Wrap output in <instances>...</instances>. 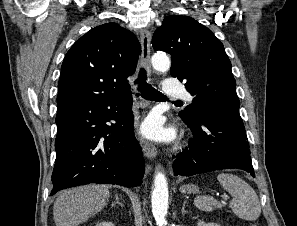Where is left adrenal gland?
<instances>
[{"label": "left adrenal gland", "instance_id": "1", "mask_svg": "<svg viewBox=\"0 0 297 226\" xmlns=\"http://www.w3.org/2000/svg\"><path fill=\"white\" fill-rule=\"evenodd\" d=\"M185 205H186V201L183 202V205H182V209H181V213L182 215H184L185 213H187L188 211L185 210Z\"/></svg>", "mask_w": 297, "mask_h": 226}]
</instances>
